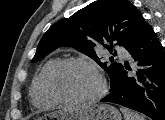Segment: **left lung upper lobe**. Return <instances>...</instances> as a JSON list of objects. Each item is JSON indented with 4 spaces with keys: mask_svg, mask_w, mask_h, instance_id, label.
Instances as JSON below:
<instances>
[{
    "mask_svg": "<svg viewBox=\"0 0 165 120\" xmlns=\"http://www.w3.org/2000/svg\"><path fill=\"white\" fill-rule=\"evenodd\" d=\"M144 18L126 0H97L77 11L71 17L53 24L40 40L32 62H37L60 46H70L94 59L106 70L111 91L118 85L122 64L101 62L95 52L100 45L113 55L112 42L125 47L140 29ZM110 42V46L105 43Z\"/></svg>",
    "mask_w": 165,
    "mask_h": 120,
    "instance_id": "1",
    "label": "left lung upper lobe"
}]
</instances>
